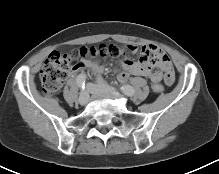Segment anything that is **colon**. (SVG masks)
<instances>
[{"instance_id": "colon-1", "label": "colon", "mask_w": 219, "mask_h": 174, "mask_svg": "<svg viewBox=\"0 0 219 174\" xmlns=\"http://www.w3.org/2000/svg\"><path fill=\"white\" fill-rule=\"evenodd\" d=\"M127 55L126 50L114 44L82 47L66 53L52 52L40 72L42 89L47 95H52L59 91L69 74L79 66L80 63H75L79 59L105 56L127 57ZM151 88L154 94H161L164 90L163 85L158 82L152 84Z\"/></svg>"}]
</instances>
